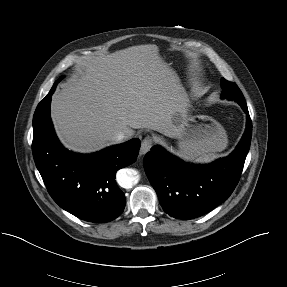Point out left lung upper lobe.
<instances>
[{"mask_svg":"<svg viewBox=\"0 0 287 287\" xmlns=\"http://www.w3.org/2000/svg\"><path fill=\"white\" fill-rule=\"evenodd\" d=\"M222 98H227L229 100H235L237 102L245 101L244 96L240 89L234 84L224 78H221Z\"/></svg>","mask_w":287,"mask_h":287,"instance_id":"5c2ea615","label":"left lung upper lobe"}]
</instances>
